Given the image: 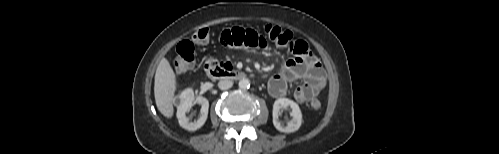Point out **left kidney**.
Returning <instances> with one entry per match:
<instances>
[{"instance_id": "left-kidney-1", "label": "left kidney", "mask_w": 499, "mask_h": 154, "mask_svg": "<svg viewBox=\"0 0 499 154\" xmlns=\"http://www.w3.org/2000/svg\"><path fill=\"white\" fill-rule=\"evenodd\" d=\"M284 111H290L292 119L286 122H281L279 116ZM302 124V112L299 105L288 98H279L273 104V125L284 133H292L297 131Z\"/></svg>"}]
</instances>
